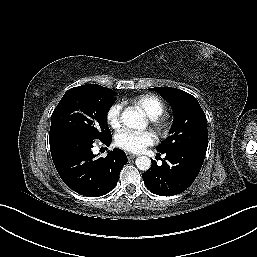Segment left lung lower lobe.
I'll return each mask as SVG.
<instances>
[{
	"instance_id": "0a47b994",
	"label": "left lung lower lobe",
	"mask_w": 257,
	"mask_h": 257,
	"mask_svg": "<svg viewBox=\"0 0 257 257\" xmlns=\"http://www.w3.org/2000/svg\"><path fill=\"white\" fill-rule=\"evenodd\" d=\"M159 152V151H158ZM163 154L161 152L158 155ZM158 166L152 161L151 168L143 173L146 187L160 196H172L185 191L195 180L205 155L189 151H169Z\"/></svg>"
}]
</instances>
